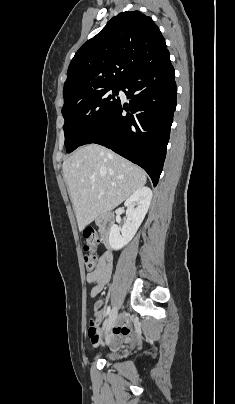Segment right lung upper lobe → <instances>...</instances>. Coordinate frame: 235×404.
<instances>
[{
    "label": "right lung upper lobe",
    "instance_id": "1",
    "mask_svg": "<svg viewBox=\"0 0 235 404\" xmlns=\"http://www.w3.org/2000/svg\"><path fill=\"white\" fill-rule=\"evenodd\" d=\"M169 56L153 20L139 11L113 17L72 59L64 84V103L114 85Z\"/></svg>",
    "mask_w": 235,
    "mask_h": 404
}]
</instances>
